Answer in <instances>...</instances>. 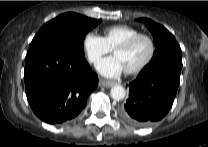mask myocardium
I'll list each match as a JSON object with an SVG mask.
<instances>
[{
    "instance_id": "myocardium-1",
    "label": "myocardium",
    "mask_w": 208,
    "mask_h": 147,
    "mask_svg": "<svg viewBox=\"0 0 208 147\" xmlns=\"http://www.w3.org/2000/svg\"><path fill=\"white\" fill-rule=\"evenodd\" d=\"M140 39H146L149 42L150 45V52L148 57L138 66L132 68V69H128L125 70V72L127 74H136L141 72L142 70H144L154 59L155 54H156V43L154 41V39L152 38V36L145 34V33H139L127 40H125L124 42L120 43L119 45H117L113 51L115 52L116 50H126L131 48L137 41H139Z\"/></svg>"
}]
</instances>
